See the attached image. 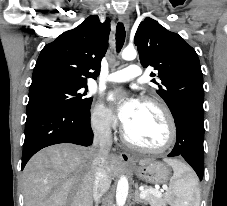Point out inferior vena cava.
<instances>
[{"mask_svg":"<svg viewBox=\"0 0 227 206\" xmlns=\"http://www.w3.org/2000/svg\"><path fill=\"white\" fill-rule=\"evenodd\" d=\"M112 146L110 120L106 119L94 133L92 167L94 170L93 198L96 205L109 189L111 176L108 170L109 151Z\"/></svg>","mask_w":227,"mask_h":206,"instance_id":"inferior-vena-cava-1","label":"inferior vena cava"}]
</instances>
